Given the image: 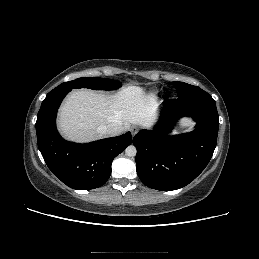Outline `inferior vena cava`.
I'll return each mask as SVG.
<instances>
[{
  "label": "inferior vena cava",
  "mask_w": 259,
  "mask_h": 259,
  "mask_svg": "<svg viewBox=\"0 0 259 259\" xmlns=\"http://www.w3.org/2000/svg\"><path fill=\"white\" fill-rule=\"evenodd\" d=\"M98 131L107 136H117L124 131V128L119 123H110L107 126H100Z\"/></svg>",
  "instance_id": "602c4592"
}]
</instances>
